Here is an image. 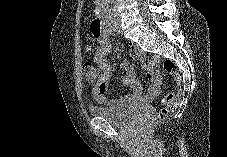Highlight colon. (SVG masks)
Listing matches in <instances>:
<instances>
[{"label": "colon", "mask_w": 227, "mask_h": 157, "mask_svg": "<svg viewBox=\"0 0 227 157\" xmlns=\"http://www.w3.org/2000/svg\"><path fill=\"white\" fill-rule=\"evenodd\" d=\"M93 33L96 36L100 35V32H95V30H93ZM162 67H163V70L168 75L174 77L176 88L178 91H180L181 90V80L179 77V72H178L176 64L172 60L166 59V60H164ZM84 75H85V80H86L87 84L94 85L97 81L99 73L90 63H87L84 65ZM160 103H161L162 108L153 115V117L151 119L152 123L162 122L165 119V116L167 115V113H169L177 108V106L179 104L178 95L173 92L168 93L161 98Z\"/></svg>", "instance_id": "1"}]
</instances>
